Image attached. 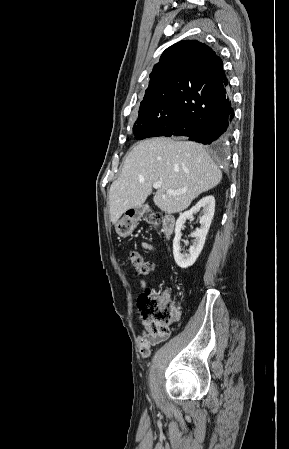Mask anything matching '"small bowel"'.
I'll return each mask as SVG.
<instances>
[{
  "label": "small bowel",
  "mask_w": 289,
  "mask_h": 449,
  "mask_svg": "<svg viewBox=\"0 0 289 449\" xmlns=\"http://www.w3.org/2000/svg\"><path fill=\"white\" fill-rule=\"evenodd\" d=\"M143 247L149 250H153V246L148 243H143ZM143 289H148L146 281H140ZM167 337L158 336L149 332L147 329L142 330L138 335V346L141 354L146 357L150 353V349L153 345L166 340Z\"/></svg>",
  "instance_id": "1"
}]
</instances>
